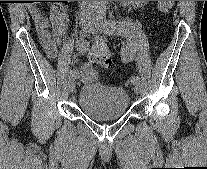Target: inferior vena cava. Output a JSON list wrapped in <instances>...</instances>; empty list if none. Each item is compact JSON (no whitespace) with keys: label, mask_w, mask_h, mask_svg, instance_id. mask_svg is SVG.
<instances>
[{"label":"inferior vena cava","mask_w":207,"mask_h":169,"mask_svg":"<svg viewBox=\"0 0 207 169\" xmlns=\"http://www.w3.org/2000/svg\"><path fill=\"white\" fill-rule=\"evenodd\" d=\"M85 3H91V4H95V1H83Z\"/></svg>","instance_id":"1"}]
</instances>
